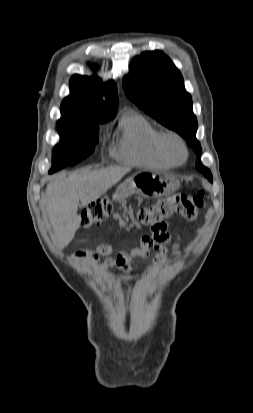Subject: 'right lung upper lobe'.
<instances>
[{
    "instance_id": "cb5924a9",
    "label": "right lung upper lobe",
    "mask_w": 253,
    "mask_h": 413,
    "mask_svg": "<svg viewBox=\"0 0 253 413\" xmlns=\"http://www.w3.org/2000/svg\"><path fill=\"white\" fill-rule=\"evenodd\" d=\"M70 95L61 104V119H106L114 117L118 96L114 82L103 83L97 76L74 75ZM103 95L107 97L103 101Z\"/></svg>"
}]
</instances>
